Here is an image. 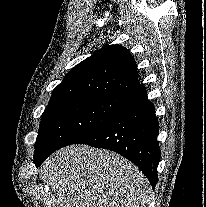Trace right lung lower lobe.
<instances>
[{"instance_id":"1","label":"right lung lower lobe","mask_w":206,"mask_h":207,"mask_svg":"<svg viewBox=\"0 0 206 207\" xmlns=\"http://www.w3.org/2000/svg\"><path fill=\"white\" fill-rule=\"evenodd\" d=\"M127 97L129 102L120 114L75 144H87L119 153L137 165L154 188L160 161L157 142L159 123L155 108L142 84L132 89ZM55 150L34 156L35 165L38 167Z\"/></svg>"}]
</instances>
